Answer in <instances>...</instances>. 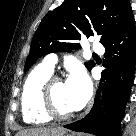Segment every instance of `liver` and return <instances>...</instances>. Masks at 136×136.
<instances>
[{
    "mask_svg": "<svg viewBox=\"0 0 136 136\" xmlns=\"http://www.w3.org/2000/svg\"><path fill=\"white\" fill-rule=\"evenodd\" d=\"M66 132L65 129L61 127L57 128H33L21 131L16 134V136H54L55 134Z\"/></svg>",
    "mask_w": 136,
    "mask_h": 136,
    "instance_id": "1",
    "label": "liver"
}]
</instances>
